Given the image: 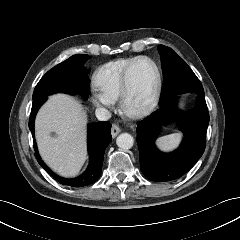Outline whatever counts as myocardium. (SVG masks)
Segmentation results:
<instances>
[{
	"instance_id": "1",
	"label": "myocardium",
	"mask_w": 240,
	"mask_h": 240,
	"mask_svg": "<svg viewBox=\"0 0 240 240\" xmlns=\"http://www.w3.org/2000/svg\"><path fill=\"white\" fill-rule=\"evenodd\" d=\"M142 60H148L154 65L156 70L155 86L151 95L149 96L145 103L138 107H130L128 105V99L131 92L130 89L131 74L136 64ZM161 88H162V73L159 64L152 57L147 55H142L135 58V60L125 70L122 78L121 91L118 98L119 108L121 112L130 118H140L147 115L155 108L156 104L158 103L161 94Z\"/></svg>"
}]
</instances>
